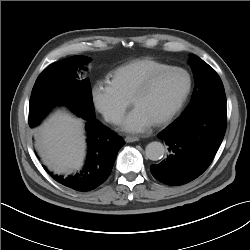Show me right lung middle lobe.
<instances>
[{"mask_svg":"<svg viewBox=\"0 0 250 250\" xmlns=\"http://www.w3.org/2000/svg\"><path fill=\"white\" fill-rule=\"evenodd\" d=\"M90 61L72 56L46 68L37 78L29 103V126L35 127L55 104H64L83 118L95 117L90 81L80 80L76 71Z\"/></svg>","mask_w":250,"mask_h":250,"instance_id":"right-lung-middle-lobe-1","label":"right lung middle lobe"}]
</instances>
